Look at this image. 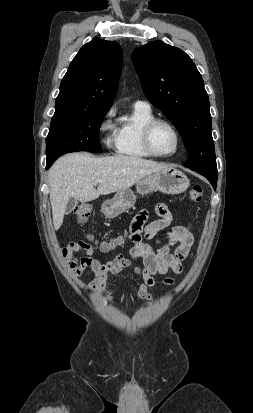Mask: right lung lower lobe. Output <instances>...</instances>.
<instances>
[{"label": "right lung lower lobe", "instance_id": "obj_1", "mask_svg": "<svg viewBox=\"0 0 253 413\" xmlns=\"http://www.w3.org/2000/svg\"><path fill=\"white\" fill-rule=\"evenodd\" d=\"M55 160L47 161L46 162V169H48L54 162Z\"/></svg>", "mask_w": 253, "mask_h": 413}]
</instances>
